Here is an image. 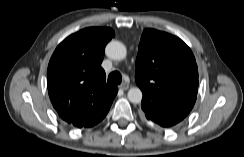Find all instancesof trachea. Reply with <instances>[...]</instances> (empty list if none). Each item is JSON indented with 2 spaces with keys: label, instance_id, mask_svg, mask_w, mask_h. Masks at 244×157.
Segmentation results:
<instances>
[{
  "label": "trachea",
  "instance_id": "3493384b",
  "mask_svg": "<svg viewBox=\"0 0 244 157\" xmlns=\"http://www.w3.org/2000/svg\"><path fill=\"white\" fill-rule=\"evenodd\" d=\"M121 81H122V76L118 71H113L108 76L109 84L118 85L121 83Z\"/></svg>",
  "mask_w": 244,
  "mask_h": 157
}]
</instances>
